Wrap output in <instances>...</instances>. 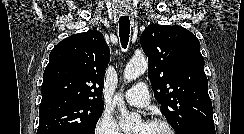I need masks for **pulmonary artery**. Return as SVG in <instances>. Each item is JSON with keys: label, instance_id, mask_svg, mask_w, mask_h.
Here are the masks:
<instances>
[{"label": "pulmonary artery", "instance_id": "obj_1", "mask_svg": "<svg viewBox=\"0 0 244 134\" xmlns=\"http://www.w3.org/2000/svg\"><path fill=\"white\" fill-rule=\"evenodd\" d=\"M124 99L133 106H146L149 103V92L147 85L143 82L137 83L125 92Z\"/></svg>", "mask_w": 244, "mask_h": 134}]
</instances>
